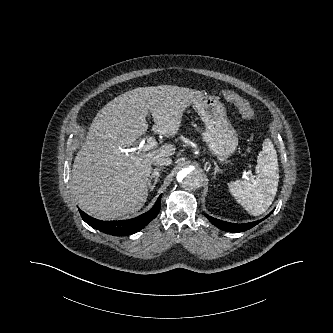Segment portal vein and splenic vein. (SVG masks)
I'll use <instances>...</instances> for the list:
<instances>
[{"label": "portal vein and splenic vein", "instance_id": "portal-vein-and-splenic-vein-1", "mask_svg": "<svg viewBox=\"0 0 333 333\" xmlns=\"http://www.w3.org/2000/svg\"><path fill=\"white\" fill-rule=\"evenodd\" d=\"M157 145V142H156V140H155V138L154 137H148L147 138V144L146 145H144V143H140L139 144V146H136V147H134V148H128V149H122V152H124L126 155H128V153H130V152H135V151H147V150H149V149H151V148H153L154 146H156ZM245 175H248V176H250L251 177V180H253L254 179V176L252 175V173L249 171V172H247V173H245Z\"/></svg>", "mask_w": 333, "mask_h": 333}]
</instances>
